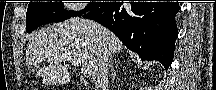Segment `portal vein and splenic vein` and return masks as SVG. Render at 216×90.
<instances>
[{"instance_id": "18ae733b", "label": "portal vein and splenic vein", "mask_w": 216, "mask_h": 90, "mask_svg": "<svg viewBox=\"0 0 216 90\" xmlns=\"http://www.w3.org/2000/svg\"><path fill=\"white\" fill-rule=\"evenodd\" d=\"M81 64H82V62H80V60H79V62H75V66H81ZM82 74H83V72H82ZM84 76H85V78H89V74H83V76H81V78H84Z\"/></svg>"}]
</instances>
